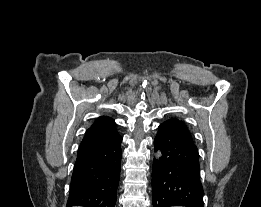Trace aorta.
Here are the masks:
<instances>
[{"label": "aorta", "instance_id": "aorta-1", "mask_svg": "<svg viewBox=\"0 0 261 207\" xmlns=\"http://www.w3.org/2000/svg\"><path fill=\"white\" fill-rule=\"evenodd\" d=\"M161 156H162V155H161V151H158V152L156 153V158L159 159Z\"/></svg>", "mask_w": 261, "mask_h": 207}]
</instances>
